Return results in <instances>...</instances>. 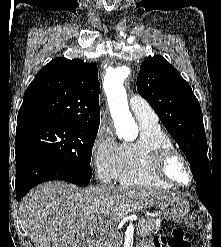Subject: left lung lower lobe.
<instances>
[{"mask_svg": "<svg viewBox=\"0 0 221 247\" xmlns=\"http://www.w3.org/2000/svg\"><path fill=\"white\" fill-rule=\"evenodd\" d=\"M196 192L199 199L209 210L214 199V188L213 186H197Z\"/></svg>", "mask_w": 221, "mask_h": 247, "instance_id": "left-lung-lower-lobe-1", "label": "left lung lower lobe"}]
</instances>
